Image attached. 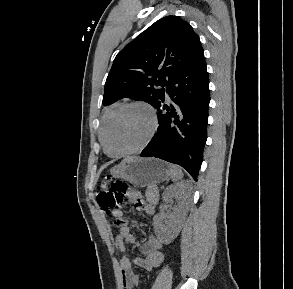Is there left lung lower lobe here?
Instances as JSON below:
<instances>
[{"mask_svg":"<svg viewBox=\"0 0 293 289\" xmlns=\"http://www.w3.org/2000/svg\"><path fill=\"white\" fill-rule=\"evenodd\" d=\"M172 100L163 105L164 93L154 106L159 127L141 157H157L185 168L197 181L207 140L209 79L200 52L193 62L166 86ZM167 113H162V110Z\"/></svg>","mask_w":293,"mask_h":289,"instance_id":"obj_1","label":"left lung lower lobe"}]
</instances>
